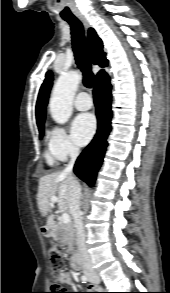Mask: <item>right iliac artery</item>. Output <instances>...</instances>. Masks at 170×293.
I'll return each instance as SVG.
<instances>
[{
  "instance_id": "obj_1",
  "label": "right iliac artery",
  "mask_w": 170,
  "mask_h": 293,
  "mask_svg": "<svg viewBox=\"0 0 170 293\" xmlns=\"http://www.w3.org/2000/svg\"><path fill=\"white\" fill-rule=\"evenodd\" d=\"M81 280H82L83 283H86L87 282V276L83 275L81 277Z\"/></svg>"
}]
</instances>
